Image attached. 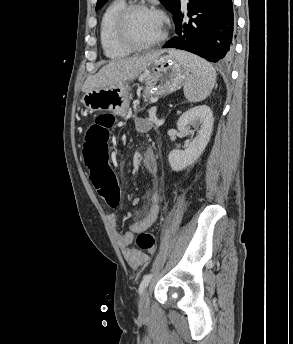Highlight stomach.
Returning <instances> with one entry per match:
<instances>
[{
	"label": "stomach",
	"mask_w": 293,
	"mask_h": 344,
	"mask_svg": "<svg viewBox=\"0 0 293 344\" xmlns=\"http://www.w3.org/2000/svg\"><path fill=\"white\" fill-rule=\"evenodd\" d=\"M187 77V70L171 53L160 55L134 79L115 88L104 87L86 92L82 103L90 113L110 111L125 116L129 108V92L133 80L137 79L144 85L145 97L149 98L179 90Z\"/></svg>",
	"instance_id": "stomach-1"
}]
</instances>
